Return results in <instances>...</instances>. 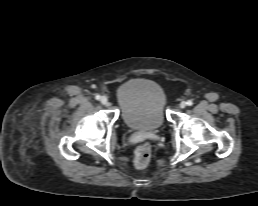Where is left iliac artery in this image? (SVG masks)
I'll return each instance as SVG.
<instances>
[{
    "label": "left iliac artery",
    "instance_id": "left-iliac-artery-1",
    "mask_svg": "<svg viewBox=\"0 0 258 206\" xmlns=\"http://www.w3.org/2000/svg\"><path fill=\"white\" fill-rule=\"evenodd\" d=\"M186 103L188 106H191L193 104V102L191 100H188Z\"/></svg>",
    "mask_w": 258,
    "mask_h": 206
}]
</instances>
